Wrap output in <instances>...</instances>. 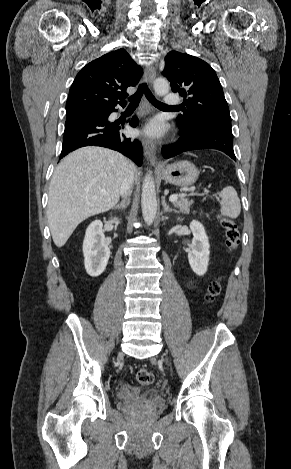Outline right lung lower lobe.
<instances>
[{"label": "right lung lower lobe", "mask_w": 291, "mask_h": 469, "mask_svg": "<svg viewBox=\"0 0 291 469\" xmlns=\"http://www.w3.org/2000/svg\"><path fill=\"white\" fill-rule=\"evenodd\" d=\"M116 105H96L68 114L60 159L75 149L94 145L121 152L141 166L143 160L141 143L137 139L128 138L122 132L123 126L108 119L112 112L117 111ZM120 105L125 106V104ZM127 122L132 127H136L139 123L136 116Z\"/></svg>", "instance_id": "98d812e1"}]
</instances>
